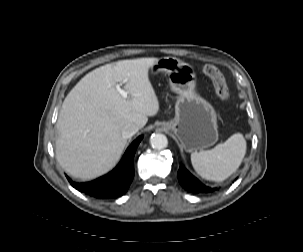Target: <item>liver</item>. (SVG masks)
Masks as SVG:
<instances>
[{"label": "liver", "instance_id": "liver-1", "mask_svg": "<svg viewBox=\"0 0 303 252\" xmlns=\"http://www.w3.org/2000/svg\"><path fill=\"white\" fill-rule=\"evenodd\" d=\"M158 58H137L106 64L86 74L68 93L57 120L56 159L72 177L90 180L111 170L127 139L125 125L143 128L159 111L149 80ZM125 83L123 98L116 84Z\"/></svg>", "mask_w": 303, "mask_h": 252}]
</instances>
